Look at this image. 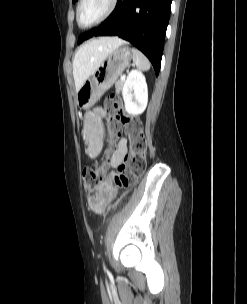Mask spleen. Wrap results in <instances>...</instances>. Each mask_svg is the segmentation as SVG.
Returning <instances> with one entry per match:
<instances>
[{
  "instance_id": "spleen-1",
  "label": "spleen",
  "mask_w": 247,
  "mask_h": 304,
  "mask_svg": "<svg viewBox=\"0 0 247 304\" xmlns=\"http://www.w3.org/2000/svg\"><path fill=\"white\" fill-rule=\"evenodd\" d=\"M133 63L134 65L142 71H148L150 69V62L147 57L138 49L133 48Z\"/></svg>"
}]
</instances>
